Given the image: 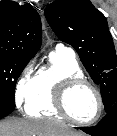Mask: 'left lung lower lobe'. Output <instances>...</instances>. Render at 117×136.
I'll list each match as a JSON object with an SVG mask.
<instances>
[{
    "instance_id": "1",
    "label": "left lung lower lobe",
    "mask_w": 117,
    "mask_h": 136,
    "mask_svg": "<svg viewBox=\"0 0 117 136\" xmlns=\"http://www.w3.org/2000/svg\"><path fill=\"white\" fill-rule=\"evenodd\" d=\"M79 129L92 136H117V106L108 111L96 126Z\"/></svg>"
}]
</instances>
